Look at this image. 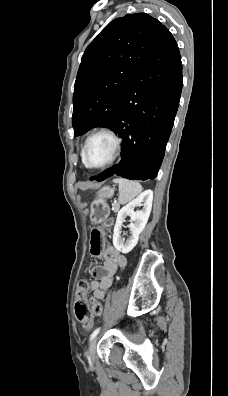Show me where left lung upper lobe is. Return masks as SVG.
<instances>
[{
    "label": "left lung upper lobe",
    "instance_id": "left-lung-upper-lobe-1",
    "mask_svg": "<svg viewBox=\"0 0 228 396\" xmlns=\"http://www.w3.org/2000/svg\"><path fill=\"white\" fill-rule=\"evenodd\" d=\"M163 27L146 13L126 14L111 21L86 48L73 94L75 136L94 127L112 126Z\"/></svg>",
    "mask_w": 228,
    "mask_h": 396
}]
</instances>
